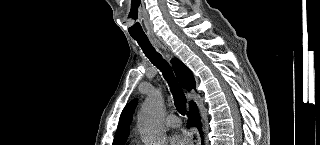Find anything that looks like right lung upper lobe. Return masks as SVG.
<instances>
[{
	"mask_svg": "<svg viewBox=\"0 0 320 145\" xmlns=\"http://www.w3.org/2000/svg\"><path fill=\"white\" fill-rule=\"evenodd\" d=\"M171 62L173 63V70L179 83L188 91L195 88V80L189 68L177 58H173ZM136 104L137 99H134L123 109L119 119L113 145H123L125 140L128 138V130Z\"/></svg>",
	"mask_w": 320,
	"mask_h": 145,
	"instance_id": "1",
	"label": "right lung upper lobe"
}]
</instances>
